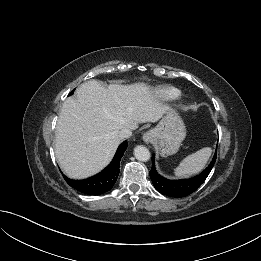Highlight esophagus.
I'll use <instances>...</instances> for the list:
<instances>
[{"label":"esophagus","mask_w":261,"mask_h":261,"mask_svg":"<svg viewBox=\"0 0 261 261\" xmlns=\"http://www.w3.org/2000/svg\"><path fill=\"white\" fill-rule=\"evenodd\" d=\"M154 137V132L153 131H148L143 135V140L148 143L150 142Z\"/></svg>","instance_id":"1"}]
</instances>
